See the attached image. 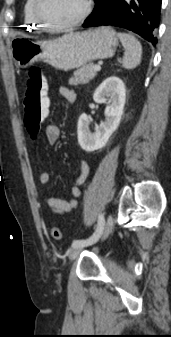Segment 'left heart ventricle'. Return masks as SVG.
I'll use <instances>...</instances> for the list:
<instances>
[{"instance_id": "left-heart-ventricle-1", "label": "left heart ventricle", "mask_w": 171, "mask_h": 337, "mask_svg": "<svg viewBox=\"0 0 171 337\" xmlns=\"http://www.w3.org/2000/svg\"><path fill=\"white\" fill-rule=\"evenodd\" d=\"M84 9V0H44L42 12L53 24H64L76 19Z\"/></svg>"}]
</instances>
